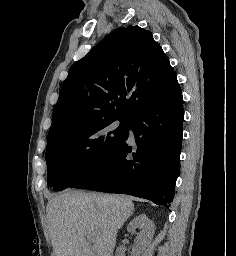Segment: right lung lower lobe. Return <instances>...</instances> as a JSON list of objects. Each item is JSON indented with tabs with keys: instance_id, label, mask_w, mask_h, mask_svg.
I'll use <instances>...</instances> for the list:
<instances>
[{
	"instance_id": "obj_1",
	"label": "right lung lower lobe",
	"mask_w": 236,
	"mask_h": 256,
	"mask_svg": "<svg viewBox=\"0 0 236 256\" xmlns=\"http://www.w3.org/2000/svg\"><path fill=\"white\" fill-rule=\"evenodd\" d=\"M183 120L177 84L146 102L123 142L68 187L130 194L168 208L179 175Z\"/></svg>"
}]
</instances>
